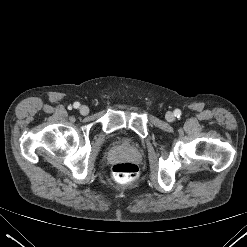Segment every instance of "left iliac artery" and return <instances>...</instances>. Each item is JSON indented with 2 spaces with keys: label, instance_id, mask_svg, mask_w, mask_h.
<instances>
[{
  "label": "left iliac artery",
  "instance_id": "left-iliac-artery-1",
  "mask_svg": "<svg viewBox=\"0 0 247 247\" xmlns=\"http://www.w3.org/2000/svg\"><path fill=\"white\" fill-rule=\"evenodd\" d=\"M174 114H175L176 117H180L181 116V111L179 109H176L174 111Z\"/></svg>",
  "mask_w": 247,
  "mask_h": 247
}]
</instances>
